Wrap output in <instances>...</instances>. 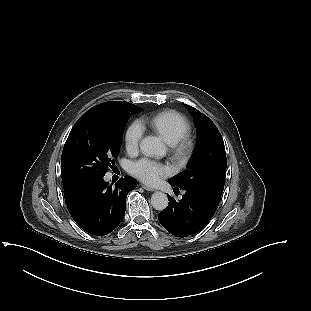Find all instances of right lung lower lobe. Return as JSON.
<instances>
[{
	"label": "right lung lower lobe",
	"instance_id": "1",
	"mask_svg": "<svg viewBox=\"0 0 311 311\" xmlns=\"http://www.w3.org/2000/svg\"><path fill=\"white\" fill-rule=\"evenodd\" d=\"M137 182L125 176L114 186L103 177L89 180L64 191L65 201L75 222L93 235H106L123 220L127 194Z\"/></svg>",
	"mask_w": 311,
	"mask_h": 311
}]
</instances>
